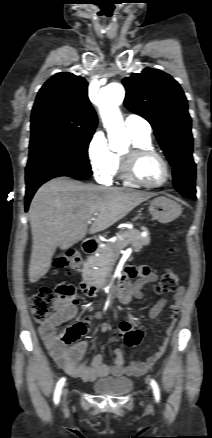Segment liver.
<instances>
[{
	"label": "liver",
	"mask_w": 212,
	"mask_h": 438,
	"mask_svg": "<svg viewBox=\"0 0 212 438\" xmlns=\"http://www.w3.org/2000/svg\"><path fill=\"white\" fill-rule=\"evenodd\" d=\"M154 196L134 189L83 184L65 177L42 185L29 208L33 241L29 281L34 283L48 272L57 247L68 249L87 233L109 228ZM94 216L88 229L87 224Z\"/></svg>",
	"instance_id": "1"
}]
</instances>
